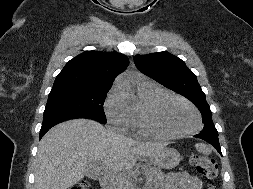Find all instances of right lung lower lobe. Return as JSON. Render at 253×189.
Here are the masks:
<instances>
[{"mask_svg": "<svg viewBox=\"0 0 253 189\" xmlns=\"http://www.w3.org/2000/svg\"><path fill=\"white\" fill-rule=\"evenodd\" d=\"M74 117H56V118H48V119H44L43 120V124L40 130V139L43 137V135L53 126H55L56 124L68 120V119H72Z\"/></svg>", "mask_w": 253, "mask_h": 189, "instance_id": "1", "label": "right lung lower lobe"}]
</instances>
